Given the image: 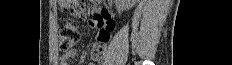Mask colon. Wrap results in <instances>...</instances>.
I'll use <instances>...</instances> for the list:
<instances>
[{
	"mask_svg": "<svg viewBox=\"0 0 232 65\" xmlns=\"http://www.w3.org/2000/svg\"><path fill=\"white\" fill-rule=\"evenodd\" d=\"M95 2L92 0H75L72 15L75 17H81L92 11ZM80 34L76 26L70 22L64 24L60 30V49L64 52L71 50L79 41ZM105 39V35H102L100 41L95 45L94 59L100 60L104 53V44L102 41Z\"/></svg>",
	"mask_w": 232,
	"mask_h": 65,
	"instance_id": "obj_1",
	"label": "colon"
}]
</instances>
